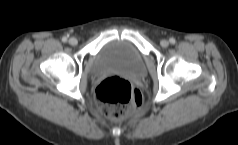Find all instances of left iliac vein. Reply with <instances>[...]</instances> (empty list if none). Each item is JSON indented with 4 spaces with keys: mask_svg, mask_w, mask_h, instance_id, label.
I'll list each match as a JSON object with an SVG mask.
<instances>
[{
    "mask_svg": "<svg viewBox=\"0 0 238 145\" xmlns=\"http://www.w3.org/2000/svg\"><path fill=\"white\" fill-rule=\"evenodd\" d=\"M160 44L162 47L166 48V47H168L169 42L167 40L163 39V40H161Z\"/></svg>",
    "mask_w": 238,
    "mask_h": 145,
    "instance_id": "4c4485c4",
    "label": "left iliac vein"
}]
</instances>
